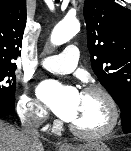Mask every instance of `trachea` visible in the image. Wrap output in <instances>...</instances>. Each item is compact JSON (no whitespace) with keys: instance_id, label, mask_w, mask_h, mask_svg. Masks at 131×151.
Segmentation results:
<instances>
[{"instance_id":"3493384b","label":"trachea","mask_w":131,"mask_h":151,"mask_svg":"<svg viewBox=\"0 0 131 151\" xmlns=\"http://www.w3.org/2000/svg\"><path fill=\"white\" fill-rule=\"evenodd\" d=\"M57 3L60 1V0H55Z\"/></svg>"}]
</instances>
